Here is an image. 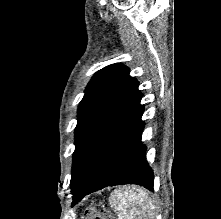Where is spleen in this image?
<instances>
[{
	"label": "spleen",
	"mask_w": 221,
	"mask_h": 219,
	"mask_svg": "<svg viewBox=\"0 0 221 219\" xmlns=\"http://www.w3.org/2000/svg\"><path fill=\"white\" fill-rule=\"evenodd\" d=\"M110 205L118 219H152L155 207L147 193L138 187H124L110 196Z\"/></svg>",
	"instance_id": "spleen-1"
}]
</instances>
